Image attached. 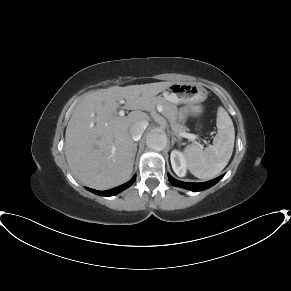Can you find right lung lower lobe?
<instances>
[{
	"label": "right lung lower lobe",
	"instance_id": "98d812e1",
	"mask_svg": "<svg viewBox=\"0 0 291 291\" xmlns=\"http://www.w3.org/2000/svg\"><path fill=\"white\" fill-rule=\"evenodd\" d=\"M135 179H136V176H133L128 182L124 183L123 185L115 187V188L110 189V190H106V191H97V190L90 189V188H87V189L89 191L97 194V195L112 196V195H115V194L123 191L124 189L128 188L129 186H131L134 183Z\"/></svg>",
	"mask_w": 291,
	"mask_h": 291
}]
</instances>
